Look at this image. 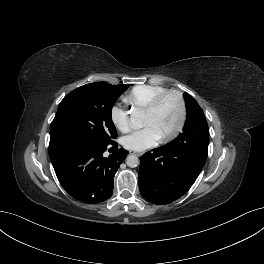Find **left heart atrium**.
<instances>
[{"label":"left heart atrium","instance_id":"obj_1","mask_svg":"<svg viewBox=\"0 0 264 264\" xmlns=\"http://www.w3.org/2000/svg\"><path fill=\"white\" fill-rule=\"evenodd\" d=\"M161 135L152 125H146L144 128L132 131L122 138V144L125 148L135 151H143L155 146Z\"/></svg>","mask_w":264,"mask_h":264}]
</instances>
